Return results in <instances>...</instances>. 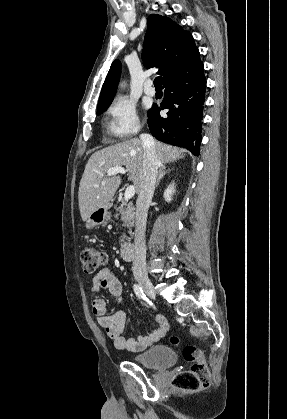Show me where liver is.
Masks as SVG:
<instances>
[{
	"instance_id": "1",
	"label": "liver",
	"mask_w": 287,
	"mask_h": 419,
	"mask_svg": "<svg viewBox=\"0 0 287 419\" xmlns=\"http://www.w3.org/2000/svg\"><path fill=\"white\" fill-rule=\"evenodd\" d=\"M160 166L184 158L186 150L155 141ZM144 148L138 138L103 148L91 155L80 181L78 201L83 221L97 209L106 207L121 184L119 176H106L109 169L126 167L128 180L138 192L143 175Z\"/></svg>"
}]
</instances>
